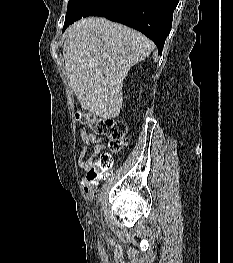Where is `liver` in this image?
<instances>
[{
    "label": "liver",
    "instance_id": "liver-1",
    "mask_svg": "<svg viewBox=\"0 0 233 263\" xmlns=\"http://www.w3.org/2000/svg\"><path fill=\"white\" fill-rule=\"evenodd\" d=\"M153 50L142 33L105 18L88 17L70 26L63 45L65 71L82 109L103 119L117 117L123 80Z\"/></svg>",
    "mask_w": 233,
    "mask_h": 263
}]
</instances>
